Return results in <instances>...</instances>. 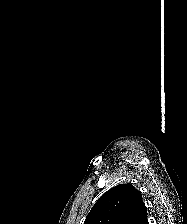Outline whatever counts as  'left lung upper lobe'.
Listing matches in <instances>:
<instances>
[{
  "instance_id": "1",
  "label": "left lung upper lobe",
  "mask_w": 187,
  "mask_h": 224,
  "mask_svg": "<svg viewBox=\"0 0 187 224\" xmlns=\"http://www.w3.org/2000/svg\"><path fill=\"white\" fill-rule=\"evenodd\" d=\"M141 192L131 184H119L94 204L84 224H149Z\"/></svg>"
}]
</instances>
